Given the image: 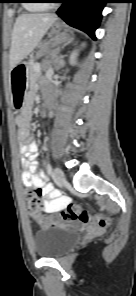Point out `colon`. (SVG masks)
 <instances>
[{
    "mask_svg": "<svg viewBox=\"0 0 136 296\" xmlns=\"http://www.w3.org/2000/svg\"><path fill=\"white\" fill-rule=\"evenodd\" d=\"M26 196L27 209L41 226H55L67 220H79L83 224H91L100 228H106L111 225V220L108 216L102 214L93 215L76 203H68L61 212L47 216L42 215L40 213V191L27 192Z\"/></svg>",
    "mask_w": 136,
    "mask_h": 296,
    "instance_id": "5ec220e1",
    "label": "colon"
}]
</instances>
